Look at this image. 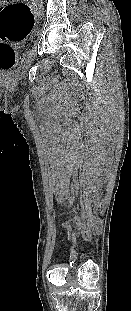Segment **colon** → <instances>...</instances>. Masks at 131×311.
I'll use <instances>...</instances> for the list:
<instances>
[{
	"instance_id": "colon-1",
	"label": "colon",
	"mask_w": 131,
	"mask_h": 311,
	"mask_svg": "<svg viewBox=\"0 0 131 311\" xmlns=\"http://www.w3.org/2000/svg\"><path fill=\"white\" fill-rule=\"evenodd\" d=\"M34 26L30 6L17 0L0 1V71H8L15 63V51L9 42L23 41Z\"/></svg>"
}]
</instances>
